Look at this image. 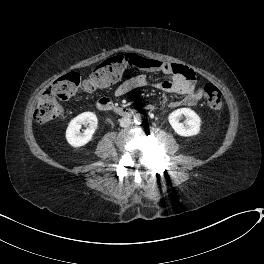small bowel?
<instances>
[{
    "label": "small bowel",
    "instance_id": "c3829d8e",
    "mask_svg": "<svg viewBox=\"0 0 264 264\" xmlns=\"http://www.w3.org/2000/svg\"><path fill=\"white\" fill-rule=\"evenodd\" d=\"M138 68L148 72H159L169 76L166 81H153L145 75H136L121 83L115 93L117 96L126 95L139 88L151 86L167 94L183 95L180 100L168 103L171 107L194 106L202 98V89L198 86L193 71L183 65L164 62L156 59L135 57ZM153 109V105H147Z\"/></svg>",
    "mask_w": 264,
    "mask_h": 264
}]
</instances>
